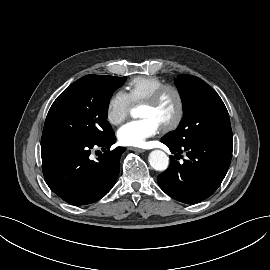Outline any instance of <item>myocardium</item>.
I'll return each instance as SVG.
<instances>
[{
    "label": "myocardium",
    "instance_id": "1",
    "mask_svg": "<svg viewBox=\"0 0 270 270\" xmlns=\"http://www.w3.org/2000/svg\"><path fill=\"white\" fill-rule=\"evenodd\" d=\"M171 91L174 93L177 100V109L174 118L167 124L161 127L163 132H168L176 129L182 122L185 114V100L182 91L175 85L172 84H164L158 87L150 96H148L143 104L155 105L159 102L162 96Z\"/></svg>",
    "mask_w": 270,
    "mask_h": 270
}]
</instances>
